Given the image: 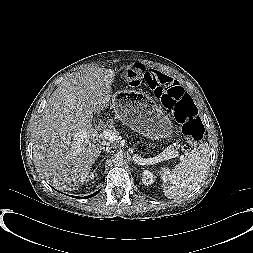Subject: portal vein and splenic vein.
I'll return each instance as SVG.
<instances>
[{"label":"portal vein and splenic vein","instance_id":"18ae733b","mask_svg":"<svg viewBox=\"0 0 253 253\" xmlns=\"http://www.w3.org/2000/svg\"><path fill=\"white\" fill-rule=\"evenodd\" d=\"M103 136L105 139H108L110 141H115L118 140V135L115 131L110 130V129H104L102 132ZM178 152L173 150V149H169L168 151L164 152L163 154L159 155L157 158L159 161L161 160H168L171 158H174L176 156H178Z\"/></svg>","mask_w":253,"mask_h":253}]
</instances>
